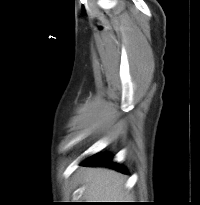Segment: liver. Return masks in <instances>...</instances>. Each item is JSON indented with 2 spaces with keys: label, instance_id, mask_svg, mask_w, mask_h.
Returning <instances> with one entry per match:
<instances>
[{
  "label": "liver",
  "instance_id": "6515ba94",
  "mask_svg": "<svg viewBox=\"0 0 200 205\" xmlns=\"http://www.w3.org/2000/svg\"><path fill=\"white\" fill-rule=\"evenodd\" d=\"M81 183L85 186L84 197L87 200H123L125 192L124 177L114 170L89 168L80 171ZM116 202V201H115Z\"/></svg>",
  "mask_w": 200,
  "mask_h": 205
}]
</instances>
